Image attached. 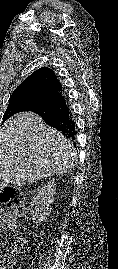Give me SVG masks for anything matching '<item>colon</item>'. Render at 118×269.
<instances>
[{"label": "colon", "instance_id": "obj_1", "mask_svg": "<svg viewBox=\"0 0 118 269\" xmlns=\"http://www.w3.org/2000/svg\"><path fill=\"white\" fill-rule=\"evenodd\" d=\"M0 204L5 206L7 216L15 221L24 222L27 220V207L25 195L18 188L11 185H0ZM24 241H17V244H23ZM16 251L14 247L8 252L0 255V269H13Z\"/></svg>", "mask_w": 118, "mask_h": 269}]
</instances>
